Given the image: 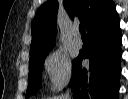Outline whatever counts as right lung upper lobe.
<instances>
[{"mask_svg":"<svg viewBox=\"0 0 128 99\" xmlns=\"http://www.w3.org/2000/svg\"><path fill=\"white\" fill-rule=\"evenodd\" d=\"M63 4L70 18L78 16L88 29L114 5V2L112 0H64ZM57 11L56 0L47 1L37 11L31 25L30 58L52 49V42L55 41Z\"/></svg>","mask_w":128,"mask_h":99,"instance_id":"right-lung-upper-lobe-1","label":"right lung upper lobe"}]
</instances>
